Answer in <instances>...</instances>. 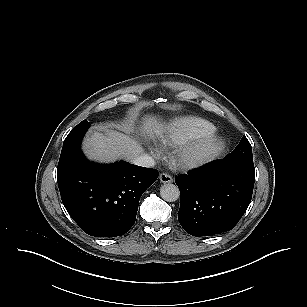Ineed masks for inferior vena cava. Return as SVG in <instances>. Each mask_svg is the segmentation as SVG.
Instances as JSON below:
<instances>
[{
  "label": "inferior vena cava",
  "mask_w": 307,
  "mask_h": 307,
  "mask_svg": "<svg viewBox=\"0 0 307 307\" xmlns=\"http://www.w3.org/2000/svg\"><path fill=\"white\" fill-rule=\"evenodd\" d=\"M131 162L135 165L143 167H153L155 165L154 159L147 154L138 155L133 158Z\"/></svg>",
  "instance_id": "inferior-vena-cava-1"
}]
</instances>
